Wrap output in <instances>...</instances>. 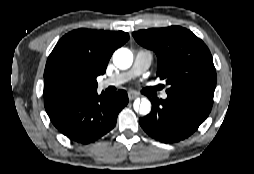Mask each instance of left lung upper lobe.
I'll use <instances>...</instances> for the list:
<instances>
[{
  "label": "left lung upper lobe",
  "instance_id": "1",
  "mask_svg": "<svg viewBox=\"0 0 254 174\" xmlns=\"http://www.w3.org/2000/svg\"><path fill=\"white\" fill-rule=\"evenodd\" d=\"M135 40L158 58L157 76L170 86L167 95L193 96L213 103L216 70L204 42L179 26L140 30Z\"/></svg>",
  "mask_w": 254,
  "mask_h": 174
}]
</instances>
